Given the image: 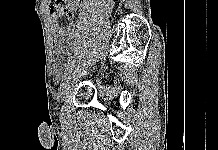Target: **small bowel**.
<instances>
[{
	"label": "small bowel",
	"mask_w": 218,
	"mask_h": 150,
	"mask_svg": "<svg viewBox=\"0 0 218 150\" xmlns=\"http://www.w3.org/2000/svg\"><path fill=\"white\" fill-rule=\"evenodd\" d=\"M80 0H64L62 4L57 6L54 9H50L51 11V26L52 33L56 38H67V39H75L76 34L73 28L71 27H60L58 23L59 17H64L67 20H71L73 18L74 12ZM57 55L59 57H63L64 51L63 49L57 50Z\"/></svg>",
	"instance_id": "1"
}]
</instances>
